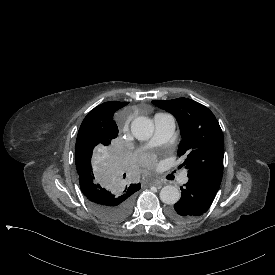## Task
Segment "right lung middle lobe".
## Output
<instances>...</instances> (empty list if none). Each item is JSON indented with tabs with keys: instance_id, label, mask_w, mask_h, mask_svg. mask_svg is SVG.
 <instances>
[{
	"instance_id": "right-lung-middle-lobe-1",
	"label": "right lung middle lobe",
	"mask_w": 275,
	"mask_h": 275,
	"mask_svg": "<svg viewBox=\"0 0 275 275\" xmlns=\"http://www.w3.org/2000/svg\"><path fill=\"white\" fill-rule=\"evenodd\" d=\"M76 169L80 190L91 208L101 217L120 221L132 208L135 191L124 190L128 163L113 134L100 138L80 127L75 146Z\"/></svg>"
}]
</instances>
